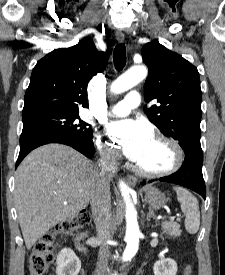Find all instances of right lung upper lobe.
<instances>
[{"instance_id": "1", "label": "right lung upper lobe", "mask_w": 225, "mask_h": 275, "mask_svg": "<svg viewBox=\"0 0 225 275\" xmlns=\"http://www.w3.org/2000/svg\"><path fill=\"white\" fill-rule=\"evenodd\" d=\"M109 50L98 52L93 41L85 38L75 46L56 49L39 60L26 90L22 116L76 111L79 105L89 107L87 84L105 69Z\"/></svg>"}]
</instances>
